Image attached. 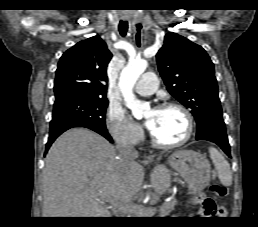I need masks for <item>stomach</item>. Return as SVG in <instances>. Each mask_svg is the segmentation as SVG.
Wrapping results in <instances>:
<instances>
[{
	"label": "stomach",
	"instance_id": "0dacf381",
	"mask_svg": "<svg viewBox=\"0 0 258 227\" xmlns=\"http://www.w3.org/2000/svg\"><path fill=\"white\" fill-rule=\"evenodd\" d=\"M167 164L184 180L189 194L202 191L210 181L211 166L204 155L192 150H179L172 153Z\"/></svg>",
	"mask_w": 258,
	"mask_h": 227
}]
</instances>
